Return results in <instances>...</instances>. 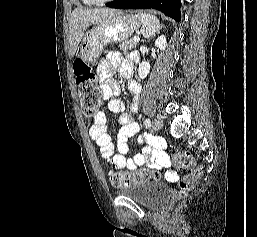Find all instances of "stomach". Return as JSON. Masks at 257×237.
Segmentation results:
<instances>
[{
    "label": "stomach",
    "instance_id": "0dacf381",
    "mask_svg": "<svg viewBox=\"0 0 257 237\" xmlns=\"http://www.w3.org/2000/svg\"><path fill=\"white\" fill-rule=\"evenodd\" d=\"M141 21L132 14L115 13L97 23L83 37L79 56L85 63H94L112 43L129 39L139 29Z\"/></svg>",
    "mask_w": 257,
    "mask_h": 237
}]
</instances>
